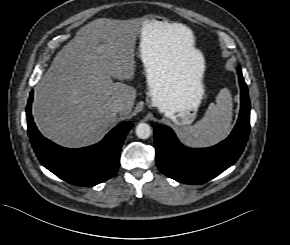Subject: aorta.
Masks as SVG:
<instances>
[{"label": "aorta", "mask_w": 290, "mask_h": 245, "mask_svg": "<svg viewBox=\"0 0 290 245\" xmlns=\"http://www.w3.org/2000/svg\"><path fill=\"white\" fill-rule=\"evenodd\" d=\"M152 130L147 123H139L136 127V135L140 139H147L151 136Z\"/></svg>", "instance_id": "762f6f07"}]
</instances>
